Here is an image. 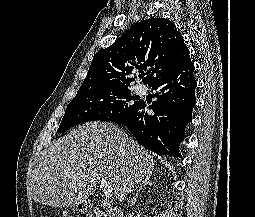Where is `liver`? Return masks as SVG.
Instances as JSON below:
<instances>
[{"label":"liver","instance_id":"1","mask_svg":"<svg viewBox=\"0 0 255 217\" xmlns=\"http://www.w3.org/2000/svg\"><path fill=\"white\" fill-rule=\"evenodd\" d=\"M153 170L151 152L124 131L110 123L89 122L40 152L31 175L32 198L42 205L72 207L86 201L103 178L115 198L124 201Z\"/></svg>","mask_w":255,"mask_h":217}]
</instances>
